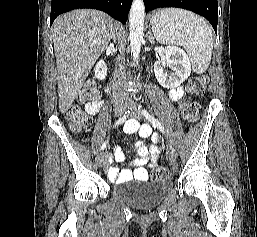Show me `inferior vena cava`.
Returning <instances> with one entry per match:
<instances>
[{"label":"inferior vena cava","mask_w":257,"mask_h":237,"mask_svg":"<svg viewBox=\"0 0 257 237\" xmlns=\"http://www.w3.org/2000/svg\"><path fill=\"white\" fill-rule=\"evenodd\" d=\"M124 66L123 58L119 56L115 65L114 83H113V98L115 103H126L129 100L127 93L123 88L124 81Z\"/></svg>","instance_id":"1"}]
</instances>
